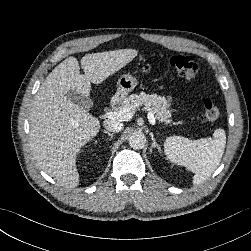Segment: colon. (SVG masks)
Listing matches in <instances>:
<instances>
[{"instance_id": "colon-1", "label": "colon", "mask_w": 251, "mask_h": 251, "mask_svg": "<svg viewBox=\"0 0 251 251\" xmlns=\"http://www.w3.org/2000/svg\"><path fill=\"white\" fill-rule=\"evenodd\" d=\"M169 65L181 76L194 79L199 73V66L190 56L174 55L169 60ZM204 118L208 121L216 120L220 111L219 108L208 99L203 101Z\"/></svg>"}]
</instances>
